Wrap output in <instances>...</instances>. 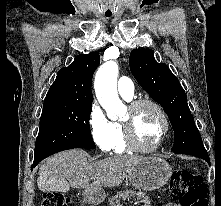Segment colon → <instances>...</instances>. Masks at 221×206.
<instances>
[{
	"label": "colon",
	"mask_w": 221,
	"mask_h": 206,
	"mask_svg": "<svg viewBox=\"0 0 221 206\" xmlns=\"http://www.w3.org/2000/svg\"><path fill=\"white\" fill-rule=\"evenodd\" d=\"M170 192L181 206H208L207 188L201 176L191 171L175 170ZM42 206H70V198L64 194H44Z\"/></svg>",
	"instance_id": "obj_1"
}]
</instances>
